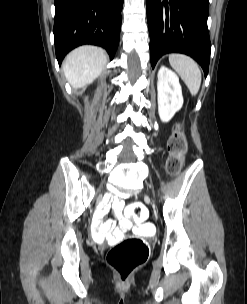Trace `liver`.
Here are the masks:
<instances>
[{
  "label": "liver",
  "mask_w": 247,
  "mask_h": 304,
  "mask_svg": "<svg viewBox=\"0 0 247 304\" xmlns=\"http://www.w3.org/2000/svg\"><path fill=\"white\" fill-rule=\"evenodd\" d=\"M107 62V53L102 48L84 45L66 56L63 71L74 88H81L92 83L100 75Z\"/></svg>",
  "instance_id": "liver-1"
}]
</instances>
